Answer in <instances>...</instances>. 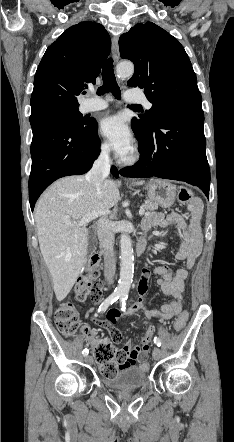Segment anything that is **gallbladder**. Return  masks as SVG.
Returning <instances> with one entry per match:
<instances>
[{
    "mask_svg": "<svg viewBox=\"0 0 234 442\" xmlns=\"http://www.w3.org/2000/svg\"><path fill=\"white\" fill-rule=\"evenodd\" d=\"M94 249V240H93V236L89 235V242H88V253H91Z\"/></svg>",
    "mask_w": 234,
    "mask_h": 442,
    "instance_id": "obj_1",
    "label": "gallbladder"
}]
</instances>
